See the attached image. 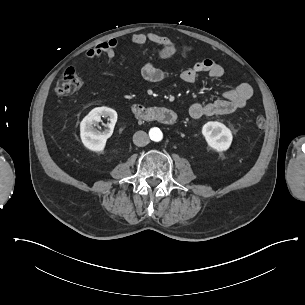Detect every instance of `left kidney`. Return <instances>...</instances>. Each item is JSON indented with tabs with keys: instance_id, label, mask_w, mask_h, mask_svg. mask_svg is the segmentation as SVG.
I'll use <instances>...</instances> for the list:
<instances>
[{
	"instance_id": "5707ae66",
	"label": "left kidney",
	"mask_w": 305,
	"mask_h": 305,
	"mask_svg": "<svg viewBox=\"0 0 305 305\" xmlns=\"http://www.w3.org/2000/svg\"><path fill=\"white\" fill-rule=\"evenodd\" d=\"M202 133L208 145L218 152L227 150L231 145L232 133L220 122H207L202 128Z\"/></svg>"
}]
</instances>
